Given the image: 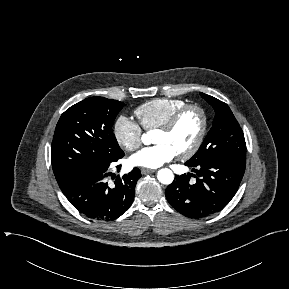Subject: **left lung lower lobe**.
<instances>
[{
  "mask_svg": "<svg viewBox=\"0 0 289 289\" xmlns=\"http://www.w3.org/2000/svg\"><path fill=\"white\" fill-rule=\"evenodd\" d=\"M245 164V157L236 156L217 157L198 165L186 162L185 165L196 172V183H189L190 174L176 176L166 188V198L178 212L189 218L219 212L236 194Z\"/></svg>",
  "mask_w": 289,
  "mask_h": 289,
  "instance_id": "left-lung-lower-lobe-1",
  "label": "left lung lower lobe"
}]
</instances>
